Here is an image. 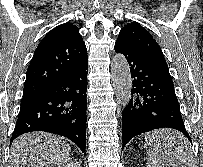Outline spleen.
<instances>
[{
  "instance_id": "spleen-1",
  "label": "spleen",
  "mask_w": 203,
  "mask_h": 167,
  "mask_svg": "<svg viewBox=\"0 0 203 167\" xmlns=\"http://www.w3.org/2000/svg\"><path fill=\"white\" fill-rule=\"evenodd\" d=\"M145 139L148 148L147 167H191L192 155L189 143L182 134H172L160 145L147 136ZM181 147L187 148L184 151Z\"/></svg>"
}]
</instances>
